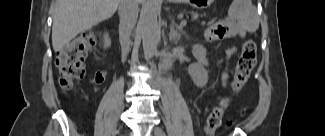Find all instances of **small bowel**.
<instances>
[{
  "label": "small bowel",
  "instance_id": "obj_1",
  "mask_svg": "<svg viewBox=\"0 0 325 136\" xmlns=\"http://www.w3.org/2000/svg\"><path fill=\"white\" fill-rule=\"evenodd\" d=\"M255 29L254 25L252 22L247 19L246 17H241L240 21L237 25H233L229 22H223L219 24H215L210 26L206 31H205V38L209 41H218L222 40L225 38H229L232 36H239L243 37L247 33L252 32ZM237 52L236 47L230 48L225 57V65L224 69L221 74V81L223 86H226L229 81V63L231 57ZM107 77V71L106 70H101L95 73V75L92 77L91 82L93 84H101L105 81ZM231 122H228L227 125H230Z\"/></svg>",
  "mask_w": 325,
  "mask_h": 136
}]
</instances>
